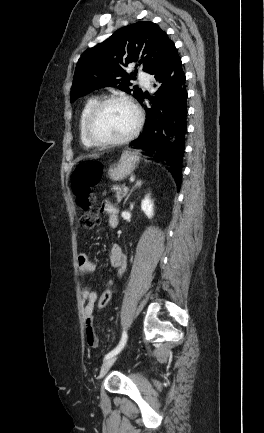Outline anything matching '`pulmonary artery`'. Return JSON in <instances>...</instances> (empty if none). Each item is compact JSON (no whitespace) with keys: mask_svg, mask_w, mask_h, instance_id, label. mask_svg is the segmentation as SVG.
Returning <instances> with one entry per match:
<instances>
[{"mask_svg":"<svg viewBox=\"0 0 264 433\" xmlns=\"http://www.w3.org/2000/svg\"><path fill=\"white\" fill-rule=\"evenodd\" d=\"M139 78L141 79L142 83L146 86L149 87L150 86V82L148 80L145 79V74L144 73H139Z\"/></svg>","mask_w":264,"mask_h":433,"instance_id":"e3ab8cb5","label":"pulmonary artery"}]
</instances>
